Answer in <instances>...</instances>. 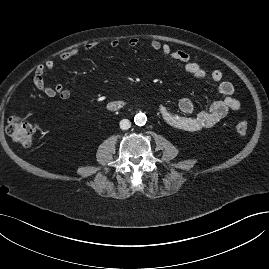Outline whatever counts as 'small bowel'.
<instances>
[{
    "mask_svg": "<svg viewBox=\"0 0 269 269\" xmlns=\"http://www.w3.org/2000/svg\"><path fill=\"white\" fill-rule=\"evenodd\" d=\"M109 45L112 48H118L120 42L118 39H111ZM127 45L130 48H136L139 40L132 37L128 40ZM97 46L96 42L85 45L86 51H91ZM150 47L154 51H158L161 55L177 65H179L186 73L192 77L204 80L210 78L218 85L221 98L216 99L208 109L201 111L197 115H192L194 105L191 99L182 98L178 103L180 114L170 112L166 106L160 105L158 113L161 119L169 126L183 131H199L210 128L220 122L230 111H238L241 109V102L233 97L234 86L231 82L223 80V73L220 70H213L210 73L200 64L194 62L190 54L182 50H173L171 46L159 40H152ZM79 54V50L73 49L61 54L60 58L63 62L70 60ZM55 67L53 61H47L45 64L39 65L34 73L33 82L36 88L47 97H60L68 99L71 92L62 84L50 86L45 82V75L52 71Z\"/></svg>",
    "mask_w": 269,
    "mask_h": 269,
    "instance_id": "1",
    "label": "small bowel"
}]
</instances>
